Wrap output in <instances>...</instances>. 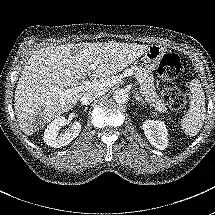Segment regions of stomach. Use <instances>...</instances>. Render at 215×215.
<instances>
[{"instance_id": "0dacf381", "label": "stomach", "mask_w": 215, "mask_h": 215, "mask_svg": "<svg viewBox=\"0 0 215 215\" xmlns=\"http://www.w3.org/2000/svg\"><path fill=\"white\" fill-rule=\"evenodd\" d=\"M167 51L161 45H150L148 46L142 56V65L149 69L155 70L158 68L163 58L165 57Z\"/></svg>"}]
</instances>
